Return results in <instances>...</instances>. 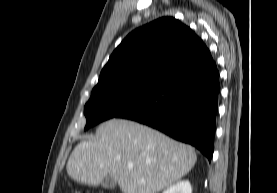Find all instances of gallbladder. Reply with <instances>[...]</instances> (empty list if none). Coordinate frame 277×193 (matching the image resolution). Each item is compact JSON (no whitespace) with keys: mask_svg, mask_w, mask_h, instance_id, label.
Returning a JSON list of instances; mask_svg holds the SVG:
<instances>
[{"mask_svg":"<svg viewBox=\"0 0 277 193\" xmlns=\"http://www.w3.org/2000/svg\"><path fill=\"white\" fill-rule=\"evenodd\" d=\"M117 185V182L113 180L110 176H107L103 179L101 186L104 189H114Z\"/></svg>","mask_w":277,"mask_h":193,"instance_id":"obj_1","label":"gallbladder"}]
</instances>
